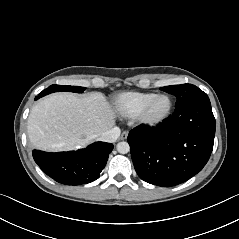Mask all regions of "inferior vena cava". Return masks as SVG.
<instances>
[{
	"instance_id": "602c4592",
	"label": "inferior vena cava",
	"mask_w": 239,
	"mask_h": 239,
	"mask_svg": "<svg viewBox=\"0 0 239 239\" xmlns=\"http://www.w3.org/2000/svg\"><path fill=\"white\" fill-rule=\"evenodd\" d=\"M120 128L119 127H113L107 131H104L98 136V140L108 143H113L117 140V138L120 136Z\"/></svg>"
}]
</instances>
